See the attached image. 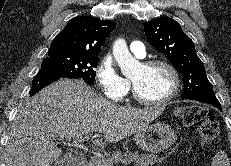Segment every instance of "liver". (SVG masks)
Returning a JSON list of instances; mask_svg holds the SVG:
<instances>
[{
  "label": "liver",
  "instance_id": "6515ba94",
  "mask_svg": "<svg viewBox=\"0 0 231 166\" xmlns=\"http://www.w3.org/2000/svg\"><path fill=\"white\" fill-rule=\"evenodd\" d=\"M164 107L115 105L83 81L60 79L28 99L12 123L6 166H50L62 154L57 140L100 132L105 148L148 126Z\"/></svg>",
  "mask_w": 231,
  "mask_h": 166
}]
</instances>
